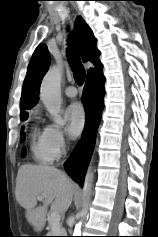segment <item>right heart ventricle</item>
<instances>
[{
    "mask_svg": "<svg viewBox=\"0 0 158 237\" xmlns=\"http://www.w3.org/2000/svg\"><path fill=\"white\" fill-rule=\"evenodd\" d=\"M29 136L30 148L34 159L43 164L51 163L54 157L47 148L44 130H41L38 125L34 124L31 127Z\"/></svg>",
    "mask_w": 158,
    "mask_h": 237,
    "instance_id": "e07e8e85",
    "label": "right heart ventricle"
}]
</instances>
